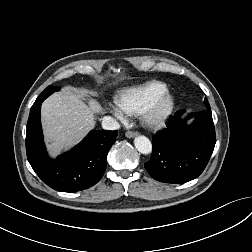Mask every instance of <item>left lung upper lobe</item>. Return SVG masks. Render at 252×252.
Wrapping results in <instances>:
<instances>
[{
	"mask_svg": "<svg viewBox=\"0 0 252 252\" xmlns=\"http://www.w3.org/2000/svg\"><path fill=\"white\" fill-rule=\"evenodd\" d=\"M204 104H205L206 109H210V105H209V103L207 102V99H206V98H205V100H204Z\"/></svg>",
	"mask_w": 252,
	"mask_h": 252,
	"instance_id": "5c2ea615",
	"label": "left lung upper lobe"
}]
</instances>
